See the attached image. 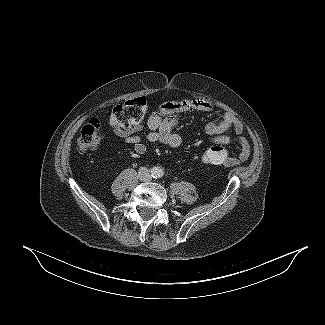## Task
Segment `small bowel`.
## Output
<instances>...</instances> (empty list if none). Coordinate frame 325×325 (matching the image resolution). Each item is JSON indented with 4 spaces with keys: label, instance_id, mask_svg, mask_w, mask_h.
<instances>
[{
    "label": "small bowel",
    "instance_id": "c3829d8e",
    "mask_svg": "<svg viewBox=\"0 0 325 325\" xmlns=\"http://www.w3.org/2000/svg\"><path fill=\"white\" fill-rule=\"evenodd\" d=\"M212 110L211 103L199 99L165 102L148 118L146 126L149 132L147 135H139L144 128L143 124L134 125L128 129L113 127V132L126 144L131 145L138 155L144 154L153 145H166L175 148L183 143V138L175 132L179 115L187 111L211 112ZM230 129H233L238 135V158L245 161L250 155V146L241 135L242 125L235 116L226 113L220 119L211 121L205 126V131L214 146L230 143L231 139L226 134ZM236 162V160L231 159L229 164Z\"/></svg>",
    "mask_w": 325,
    "mask_h": 325
}]
</instances>
